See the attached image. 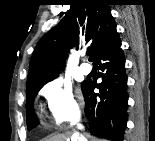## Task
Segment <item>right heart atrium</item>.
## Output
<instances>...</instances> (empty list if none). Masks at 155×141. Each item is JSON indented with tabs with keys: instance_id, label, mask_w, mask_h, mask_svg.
<instances>
[{
	"instance_id": "1",
	"label": "right heart atrium",
	"mask_w": 155,
	"mask_h": 141,
	"mask_svg": "<svg viewBox=\"0 0 155 141\" xmlns=\"http://www.w3.org/2000/svg\"><path fill=\"white\" fill-rule=\"evenodd\" d=\"M40 94L45 100L47 113L57 126L73 123L79 118V104L70 83L56 78L43 86Z\"/></svg>"
}]
</instances>
